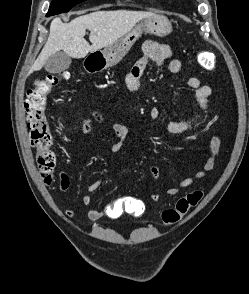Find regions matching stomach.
<instances>
[{
    "instance_id": "stomach-1",
    "label": "stomach",
    "mask_w": 249,
    "mask_h": 294,
    "mask_svg": "<svg viewBox=\"0 0 249 294\" xmlns=\"http://www.w3.org/2000/svg\"><path fill=\"white\" fill-rule=\"evenodd\" d=\"M172 31V26L167 17L158 14H152L140 21L134 28L124 35L116 43L99 51L95 57L99 58L102 69L113 67L119 63L131 49L135 41L143 32L151 33L157 36L168 35Z\"/></svg>"
}]
</instances>
